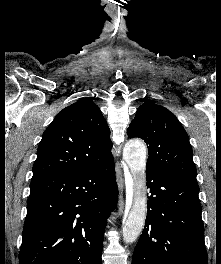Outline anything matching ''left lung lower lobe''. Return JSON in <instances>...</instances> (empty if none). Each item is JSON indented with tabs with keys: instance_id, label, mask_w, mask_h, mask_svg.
<instances>
[{
	"instance_id": "obj_1",
	"label": "left lung lower lobe",
	"mask_w": 221,
	"mask_h": 264,
	"mask_svg": "<svg viewBox=\"0 0 221 264\" xmlns=\"http://www.w3.org/2000/svg\"><path fill=\"white\" fill-rule=\"evenodd\" d=\"M145 228L132 264H208L197 182L146 170Z\"/></svg>"
}]
</instances>
